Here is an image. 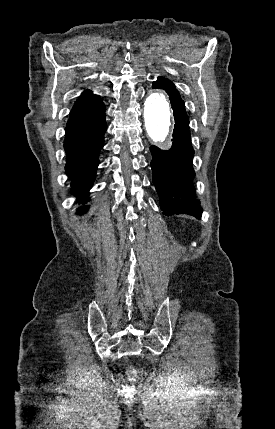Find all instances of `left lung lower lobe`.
I'll return each mask as SVG.
<instances>
[{
  "mask_svg": "<svg viewBox=\"0 0 275 429\" xmlns=\"http://www.w3.org/2000/svg\"><path fill=\"white\" fill-rule=\"evenodd\" d=\"M152 87L168 93L175 119L171 149L163 151L156 146L150 147L153 183L160 197L161 210L167 216L190 214L200 218L202 208L196 199L192 182L195 177L192 166L194 150L184 101L174 84L166 78L158 77Z\"/></svg>",
  "mask_w": 275,
  "mask_h": 429,
  "instance_id": "1",
  "label": "left lung lower lobe"
}]
</instances>
